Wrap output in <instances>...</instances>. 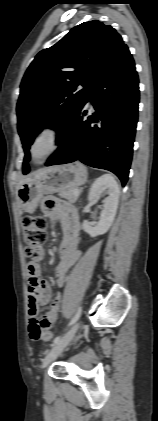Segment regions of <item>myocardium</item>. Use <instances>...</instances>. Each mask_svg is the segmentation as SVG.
<instances>
[{"label":"myocardium","instance_id":"f54148a6","mask_svg":"<svg viewBox=\"0 0 158 421\" xmlns=\"http://www.w3.org/2000/svg\"><path fill=\"white\" fill-rule=\"evenodd\" d=\"M49 136L51 140V147L50 149L41 157L37 158L34 154V147L36 143L43 137ZM62 141V129L59 124L55 122H46L42 124L33 134L30 144H29V155L31 160L36 163L40 164L52 156L60 147Z\"/></svg>","mask_w":158,"mask_h":421}]
</instances>
